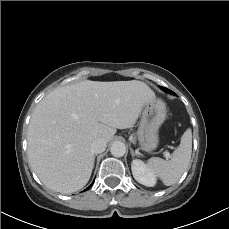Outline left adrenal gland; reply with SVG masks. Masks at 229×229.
<instances>
[{
	"mask_svg": "<svg viewBox=\"0 0 229 229\" xmlns=\"http://www.w3.org/2000/svg\"><path fill=\"white\" fill-rule=\"evenodd\" d=\"M130 153H131L132 157H135L136 156V153L131 148H130Z\"/></svg>",
	"mask_w": 229,
	"mask_h": 229,
	"instance_id": "a2214340",
	"label": "left adrenal gland"
}]
</instances>
